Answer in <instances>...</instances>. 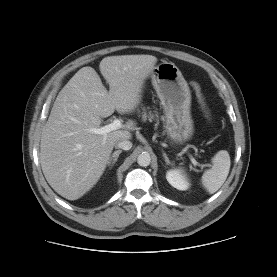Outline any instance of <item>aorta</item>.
<instances>
[{
  "instance_id": "1",
  "label": "aorta",
  "mask_w": 277,
  "mask_h": 277,
  "mask_svg": "<svg viewBox=\"0 0 277 277\" xmlns=\"http://www.w3.org/2000/svg\"><path fill=\"white\" fill-rule=\"evenodd\" d=\"M151 162L150 154L147 152H142L138 158L137 163L142 167H147Z\"/></svg>"
}]
</instances>
